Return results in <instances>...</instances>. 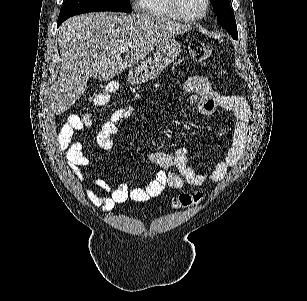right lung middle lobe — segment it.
<instances>
[{
    "label": "right lung middle lobe",
    "mask_w": 307,
    "mask_h": 301,
    "mask_svg": "<svg viewBox=\"0 0 307 301\" xmlns=\"http://www.w3.org/2000/svg\"><path fill=\"white\" fill-rule=\"evenodd\" d=\"M95 11L130 13L132 7L129 0H65L60 10L57 26L71 16Z\"/></svg>",
    "instance_id": "right-lung-middle-lobe-1"
}]
</instances>
